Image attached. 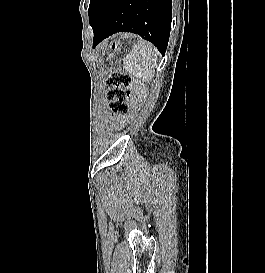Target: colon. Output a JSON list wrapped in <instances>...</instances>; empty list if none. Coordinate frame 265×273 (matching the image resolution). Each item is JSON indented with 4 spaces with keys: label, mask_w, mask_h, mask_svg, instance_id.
<instances>
[{
    "label": "colon",
    "mask_w": 265,
    "mask_h": 273,
    "mask_svg": "<svg viewBox=\"0 0 265 273\" xmlns=\"http://www.w3.org/2000/svg\"><path fill=\"white\" fill-rule=\"evenodd\" d=\"M114 49H117L115 44ZM109 90L106 95L107 105L113 114H125L128 112V100L130 98L129 85L131 76L126 73L115 72L108 76Z\"/></svg>",
    "instance_id": "colon-1"
}]
</instances>
